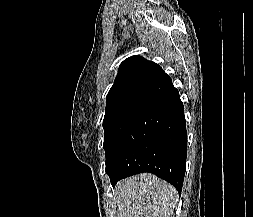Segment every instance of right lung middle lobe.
Returning a JSON list of instances; mask_svg holds the SVG:
<instances>
[{"label":"right lung middle lobe","instance_id":"right-lung-middle-lobe-1","mask_svg":"<svg viewBox=\"0 0 253 217\" xmlns=\"http://www.w3.org/2000/svg\"><path fill=\"white\" fill-rule=\"evenodd\" d=\"M149 104L144 100H128L106 107L103 121L106 164L125 131Z\"/></svg>","mask_w":253,"mask_h":217}]
</instances>
